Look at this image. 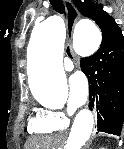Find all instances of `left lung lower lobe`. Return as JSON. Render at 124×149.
Instances as JSON below:
<instances>
[{
  "label": "left lung lower lobe",
  "instance_id": "1",
  "mask_svg": "<svg viewBox=\"0 0 124 149\" xmlns=\"http://www.w3.org/2000/svg\"><path fill=\"white\" fill-rule=\"evenodd\" d=\"M89 81V107L97 112V130L120 135L124 121V37L105 41L81 59Z\"/></svg>",
  "mask_w": 124,
  "mask_h": 149
}]
</instances>
